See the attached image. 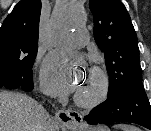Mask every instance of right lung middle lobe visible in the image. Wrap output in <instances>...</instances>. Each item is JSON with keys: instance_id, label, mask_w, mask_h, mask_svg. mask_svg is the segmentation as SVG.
Returning <instances> with one entry per match:
<instances>
[{"instance_id": "1", "label": "right lung middle lobe", "mask_w": 151, "mask_h": 131, "mask_svg": "<svg viewBox=\"0 0 151 131\" xmlns=\"http://www.w3.org/2000/svg\"><path fill=\"white\" fill-rule=\"evenodd\" d=\"M36 54L19 44L0 50V79L6 80V89L20 88L23 80L32 77Z\"/></svg>"}]
</instances>
